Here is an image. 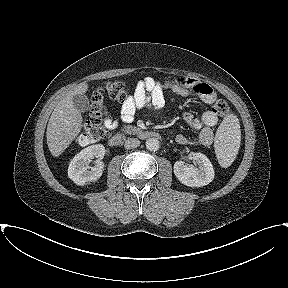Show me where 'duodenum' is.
<instances>
[{
	"label": "duodenum",
	"instance_id": "duodenum-1",
	"mask_svg": "<svg viewBox=\"0 0 288 288\" xmlns=\"http://www.w3.org/2000/svg\"><path fill=\"white\" fill-rule=\"evenodd\" d=\"M134 134L142 139H158L160 137L158 132L152 130L139 129L134 131ZM125 139L126 135L124 133L115 134L109 139V145L112 147H118L123 144Z\"/></svg>",
	"mask_w": 288,
	"mask_h": 288
}]
</instances>
